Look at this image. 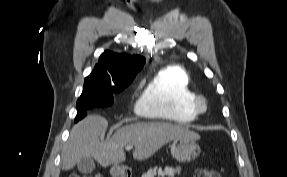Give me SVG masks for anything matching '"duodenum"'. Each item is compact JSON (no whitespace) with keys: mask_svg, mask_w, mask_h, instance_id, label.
<instances>
[{"mask_svg":"<svg viewBox=\"0 0 287 177\" xmlns=\"http://www.w3.org/2000/svg\"><path fill=\"white\" fill-rule=\"evenodd\" d=\"M113 174L115 177H130L128 174V167L126 166H118L113 169Z\"/></svg>","mask_w":287,"mask_h":177,"instance_id":"duodenum-1","label":"duodenum"}]
</instances>
